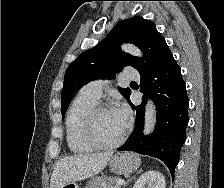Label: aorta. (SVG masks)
<instances>
[{"instance_id": "aorta-1", "label": "aorta", "mask_w": 224, "mask_h": 188, "mask_svg": "<svg viewBox=\"0 0 224 188\" xmlns=\"http://www.w3.org/2000/svg\"><path fill=\"white\" fill-rule=\"evenodd\" d=\"M122 50L130 53L134 56H142L141 51L133 45L125 44L122 46ZM155 117H156V107L152 100H148L145 106V115H144V135H150L155 126Z\"/></svg>"}]
</instances>
